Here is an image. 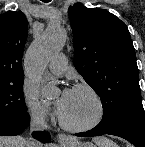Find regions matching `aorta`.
I'll return each mask as SVG.
<instances>
[{
  "label": "aorta",
  "mask_w": 145,
  "mask_h": 147,
  "mask_svg": "<svg viewBox=\"0 0 145 147\" xmlns=\"http://www.w3.org/2000/svg\"><path fill=\"white\" fill-rule=\"evenodd\" d=\"M65 36V31L60 26H50L32 43L25 61L27 73L31 78L43 82V70L62 48ZM43 90L49 95L51 88L49 85H44Z\"/></svg>",
  "instance_id": "1"
}]
</instances>
